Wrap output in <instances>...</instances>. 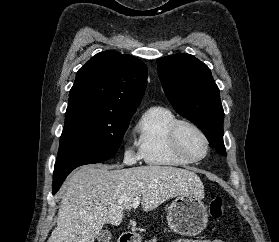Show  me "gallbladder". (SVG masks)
Returning <instances> with one entry per match:
<instances>
[{
	"mask_svg": "<svg viewBox=\"0 0 279 242\" xmlns=\"http://www.w3.org/2000/svg\"><path fill=\"white\" fill-rule=\"evenodd\" d=\"M112 233L109 230H103L99 233L97 240L98 242H110Z\"/></svg>",
	"mask_w": 279,
	"mask_h": 242,
	"instance_id": "obj_1",
	"label": "gallbladder"
}]
</instances>
